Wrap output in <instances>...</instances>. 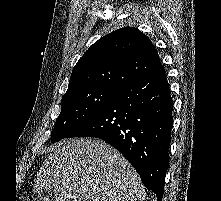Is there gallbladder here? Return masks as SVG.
Returning <instances> with one entry per match:
<instances>
[{"label": "gallbladder", "instance_id": "obj_1", "mask_svg": "<svg viewBox=\"0 0 221 201\" xmlns=\"http://www.w3.org/2000/svg\"><path fill=\"white\" fill-rule=\"evenodd\" d=\"M38 198L39 201H52L54 195L49 190H40L38 192Z\"/></svg>", "mask_w": 221, "mask_h": 201}]
</instances>
